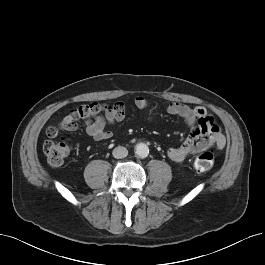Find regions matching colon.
<instances>
[{
    "label": "colon",
    "mask_w": 265,
    "mask_h": 265,
    "mask_svg": "<svg viewBox=\"0 0 265 265\" xmlns=\"http://www.w3.org/2000/svg\"><path fill=\"white\" fill-rule=\"evenodd\" d=\"M113 110L108 104L91 103L79 106L74 109L69 115L64 117L58 125L47 128V136L49 140L44 143L43 152L48 164L52 167L61 166L69 155V147L64 141H55L61 131H70L76 127V120H86L99 115H105ZM218 126L212 129L217 132ZM215 156L212 151H205L199 154L194 160V167L200 173L210 171L214 165Z\"/></svg>",
    "instance_id": "obj_1"
}]
</instances>
